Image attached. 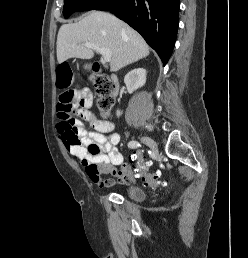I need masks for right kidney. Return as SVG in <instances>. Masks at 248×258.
<instances>
[{"label":"right kidney","instance_id":"1","mask_svg":"<svg viewBox=\"0 0 248 258\" xmlns=\"http://www.w3.org/2000/svg\"><path fill=\"white\" fill-rule=\"evenodd\" d=\"M146 82V70L143 68L133 69L124 78V83L128 92L131 94L138 88L142 87ZM117 116L121 115V111L117 110Z\"/></svg>","mask_w":248,"mask_h":258}]
</instances>
